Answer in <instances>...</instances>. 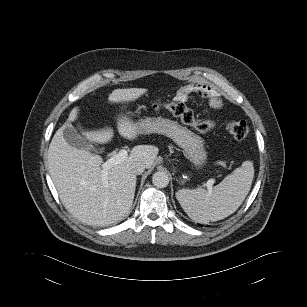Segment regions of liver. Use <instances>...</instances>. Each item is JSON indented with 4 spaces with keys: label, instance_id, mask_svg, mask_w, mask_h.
I'll use <instances>...</instances> for the list:
<instances>
[{
    "label": "liver",
    "instance_id": "6515ba94",
    "mask_svg": "<svg viewBox=\"0 0 307 307\" xmlns=\"http://www.w3.org/2000/svg\"><path fill=\"white\" fill-rule=\"evenodd\" d=\"M145 88L115 89L108 97L111 103L132 102L147 93ZM79 108L69 114L68 121L77 119ZM121 116V117H120ZM117 118L118 133L129 140L139 135L135 122L125 115ZM65 123L53 136L48 149L50 176L65 208L79 221L90 226H108L121 221L130 211L136 189V174L131 170L135 162H143L150 168L159 149L152 145H137L120 164L108 170L103 178V159L85 149L67 143L63 136ZM87 140L105 144L112 140L114 131L110 127L85 131Z\"/></svg>",
    "mask_w": 307,
    "mask_h": 307
}]
</instances>
